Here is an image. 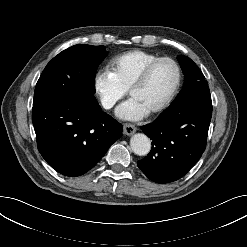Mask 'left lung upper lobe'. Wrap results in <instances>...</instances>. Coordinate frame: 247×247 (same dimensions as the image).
<instances>
[{"instance_id": "5c2ea615", "label": "left lung upper lobe", "mask_w": 247, "mask_h": 247, "mask_svg": "<svg viewBox=\"0 0 247 247\" xmlns=\"http://www.w3.org/2000/svg\"><path fill=\"white\" fill-rule=\"evenodd\" d=\"M178 60L185 75V84L170 109L178 107L200 91L209 90L203 73L189 57L180 55Z\"/></svg>"}]
</instances>
